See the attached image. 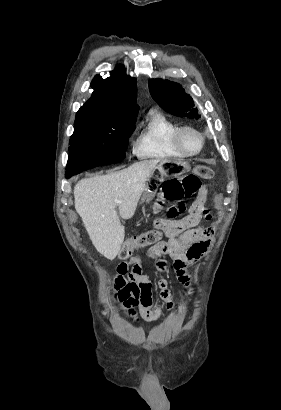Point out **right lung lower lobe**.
<instances>
[{
  "label": "right lung lower lobe",
  "mask_w": 281,
  "mask_h": 410,
  "mask_svg": "<svg viewBox=\"0 0 281 410\" xmlns=\"http://www.w3.org/2000/svg\"><path fill=\"white\" fill-rule=\"evenodd\" d=\"M72 175L71 174H65L66 178H70Z\"/></svg>",
  "instance_id": "1"
}]
</instances>
